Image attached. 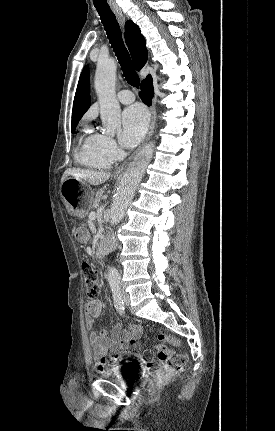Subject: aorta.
I'll return each mask as SVG.
<instances>
[{
	"label": "aorta",
	"mask_w": 275,
	"mask_h": 431,
	"mask_svg": "<svg viewBox=\"0 0 275 431\" xmlns=\"http://www.w3.org/2000/svg\"><path fill=\"white\" fill-rule=\"evenodd\" d=\"M115 81L116 63L114 59L99 61L95 74V90L100 104V117L104 132L110 136L115 135L116 131L121 128V110L116 99ZM153 152L154 143L151 142L138 153L126 169L111 206V225H116L123 219L137 186L152 159ZM108 281L111 284L120 281V274L116 268H109Z\"/></svg>",
	"instance_id": "762f6f07"
}]
</instances>
